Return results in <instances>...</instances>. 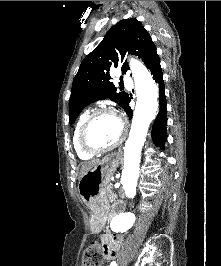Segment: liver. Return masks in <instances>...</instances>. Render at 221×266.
I'll use <instances>...</instances> for the list:
<instances>
[{
	"mask_svg": "<svg viewBox=\"0 0 221 266\" xmlns=\"http://www.w3.org/2000/svg\"><path fill=\"white\" fill-rule=\"evenodd\" d=\"M100 162L99 159H94L92 161L86 162L84 163V165L81 168L80 171V175H79V179L92 167H94L95 165H97Z\"/></svg>",
	"mask_w": 221,
	"mask_h": 266,
	"instance_id": "obj_1",
	"label": "liver"
}]
</instances>
